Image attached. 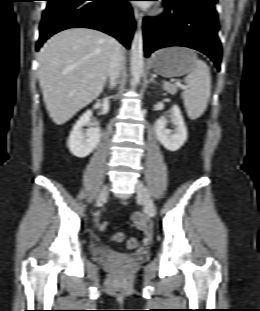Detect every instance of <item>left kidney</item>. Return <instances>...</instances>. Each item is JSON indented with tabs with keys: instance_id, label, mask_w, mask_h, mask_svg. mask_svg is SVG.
Wrapping results in <instances>:
<instances>
[{
	"instance_id": "1",
	"label": "left kidney",
	"mask_w": 260,
	"mask_h": 311,
	"mask_svg": "<svg viewBox=\"0 0 260 311\" xmlns=\"http://www.w3.org/2000/svg\"><path fill=\"white\" fill-rule=\"evenodd\" d=\"M172 121L176 125L175 132L166 129L167 120L160 117L154 125L157 139L169 151H177L187 140V128L185 126L181 111L177 105L171 109Z\"/></svg>"
}]
</instances>
